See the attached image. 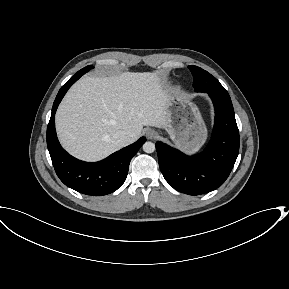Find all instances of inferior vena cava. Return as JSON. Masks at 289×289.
<instances>
[{"label":"inferior vena cava","mask_w":289,"mask_h":289,"mask_svg":"<svg viewBox=\"0 0 289 289\" xmlns=\"http://www.w3.org/2000/svg\"><path fill=\"white\" fill-rule=\"evenodd\" d=\"M114 138L118 144L124 146L127 140V134L124 131H118L114 134Z\"/></svg>","instance_id":"1"}]
</instances>
